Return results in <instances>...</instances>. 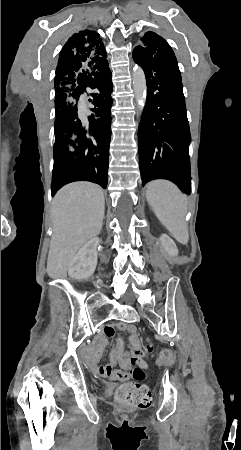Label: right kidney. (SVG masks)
<instances>
[{
	"label": "right kidney",
	"instance_id": "obj_1",
	"mask_svg": "<svg viewBox=\"0 0 241 450\" xmlns=\"http://www.w3.org/2000/svg\"><path fill=\"white\" fill-rule=\"evenodd\" d=\"M99 238H92L83 248H80L78 254L71 260L68 270V276L74 280H87L93 276L97 266V246Z\"/></svg>",
	"mask_w": 241,
	"mask_h": 450
}]
</instances>
